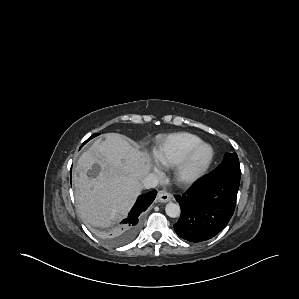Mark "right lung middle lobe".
I'll list each match as a JSON object with an SVG mask.
<instances>
[{
    "mask_svg": "<svg viewBox=\"0 0 299 299\" xmlns=\"http://www.w3.org/2000/svg\"><path fill=\"white\" fill-rule=\"evenodd\" d=\"M98 134H93L88 140H90L91 138H93V137H95V136H97ZM87 140V141H88Z\"/></svg>",
    "mask_w": 299,
    "mask_h": 299,
    "instance_id": "1",
    "label": "right lung middle lobe"
}]
</instances>
